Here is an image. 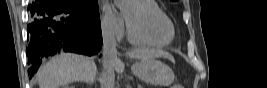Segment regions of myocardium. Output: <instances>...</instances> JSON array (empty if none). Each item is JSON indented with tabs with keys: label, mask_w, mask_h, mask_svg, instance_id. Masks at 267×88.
<instances>
[{
	"label": "myocardium",
	"mask_w": 267,
	"mask_h": 88,
	"mask_svg": "<svg viewBox=\"0 0 267 88\" xmlns=\"http://www.w3.org/2000/svg\"><path fill=\"white\" fill-rule=\"evenodd\" d=\"M133 4L138 8L147 12L150 17L158 22L161 26H166L168 28V34L164 35L162 32L148 30L139 26H135L127 17H126V26L129 32V35L143 39L146 41L168 44L170 43L175 35L174 25L171 20L167 21L162 16L161 13L152 11L145 7L143 4L133 1Z\"/></svg>",
	"instance_id": "f54148a6"
}]
</instances>
